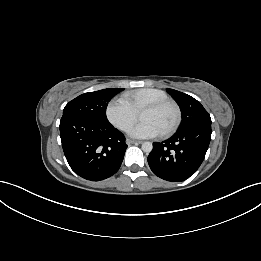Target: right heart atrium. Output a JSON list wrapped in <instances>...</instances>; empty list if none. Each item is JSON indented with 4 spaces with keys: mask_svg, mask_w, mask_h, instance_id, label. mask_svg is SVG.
Listing matches in <instances>:
<instances>
[{
    "mask_svg": "<svg viewBox=\"0 0 261 261\" xmlns=\"http://www.w3.org/2000/svg\"><path fill=\"white\" fill-rule=\"evenodd\" d=\"M137 116V111L122 96L113 98L106 107L108 121L121 131H128Z\"/></svg>",
    "mask_w": 261,
    "mask_h": 261,
    "instance_id": "d8ad5b80",
    "label": "right heart atrium"
}]
</instances>
